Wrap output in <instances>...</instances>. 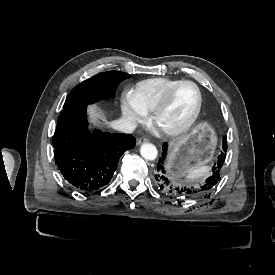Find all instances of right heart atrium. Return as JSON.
<instances>
[{"instance_id":"d8ad5b80","label":"right heart atrium","mask_w":275,"mask_h":275,"mask_svg":"<svg viewBox=\"0 0 275 275\" xmlns=\"http://www.w3.org/2000/svg\"><path fill=\"white\" fill-rule=\"evenodd\" d=\"M121 107L123 117L131 127L144 123L148 116V112L136 103L132 92H128L123 96Z\"/></svg>"}]
</instances>
